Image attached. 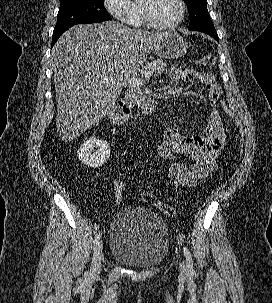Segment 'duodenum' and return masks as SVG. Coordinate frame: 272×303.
Instances as JSON below:
<instances>
[{"mask_svg":"<svg viewBox=\"0 0 272 303\" xmlns=\"http://www.w3.org/2000/svg\"><path fill=\"white\" fill-rule=\"evenodd\" d=\"M154 101H144L136 107H132L123 100L115 101L109 108V119L114 125H121L126 122L133 111L137 110L141 113H151L156 110Z\"/></svg>","mask_w":272,"mask_h":303,"instance_id":"1","label":"duodenum"}]
</instances>
